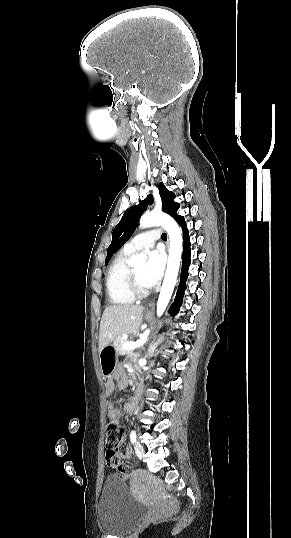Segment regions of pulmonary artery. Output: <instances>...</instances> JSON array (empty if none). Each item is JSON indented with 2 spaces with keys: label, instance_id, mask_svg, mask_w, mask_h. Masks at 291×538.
Here are the masks:
<instances>
[{
  "label": "pulmonary artery",
  "instance_id": "e3ab8cb5",
  "mask_svg": "<svg viewBox=\"0 0 291 538\" xmlns=\"http://www.w3.org/2000/svg\"><path fill=\"white\" fill-rule=\"evenodd\" d=\"M160 237L161 235L159 230H149L135 236L124 246V248L130 252L148 250L154 246L156 240H158Z\"/></svg>",
  "mask_w": 291,
  "mask_h": 538
}]
</instances>
